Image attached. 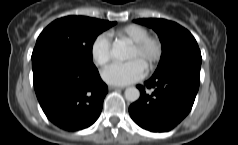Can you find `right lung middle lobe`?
<instances>
[{
    "mask_svg": "<svg viewBox=\"0 0 238 145\" xmlns=\"http://www.w3.org/2000/svg\"><path fill=\"white\" fill-rule=\"evenodd\" d=\"M115 24L116 22L86 16L57 19L39 35L32 60L41 56L62 54L92 66V46L96 37Z\"/></svg>",
    "mask_w": 238,
    "mask_h": 145,
    "instance_id": "1",
    "label": "right lung middle lobe"
}]
</instances>
